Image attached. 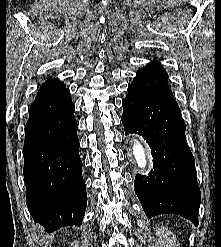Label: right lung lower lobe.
<instances>
[{
    "label": "right lung lower lobe",
    "instance_id": "right-lung-lower-lobe-1",
    "mask_svg": "<svg viewBox=\"0 0 221 247\" xmlns=\"http://www.w3.org/2000/svg\"><path fill=\"white\" fill-rule=\"evenodd\" d=\"M69 89L34 101L25 127L26 203L34 222L54 232L81 225L87 205L78 125Z\"/></svg>",
    "mask_w": 221,
    "mask_h": 247
}]
</instances>
